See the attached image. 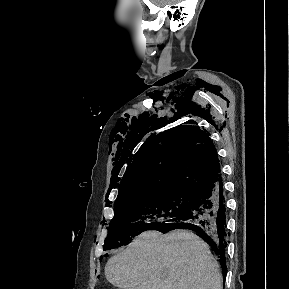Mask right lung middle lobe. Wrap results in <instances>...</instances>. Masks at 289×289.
Returning <instances> with one entry per match:
<instances>
[{"label":"right lung middle lobe","instance_id":"dd1d6c3e","mask_svg":"<svg viewBox=\"0 0 289 289\" xmlns=\"http://www.w3.org/2000/svg\"><path fill=\"white\" fill-rule=\"evenodd\" d=\"M194 198V192L175 190L134 196L116 203L103 249L117 248L143 231L156 230L185 214Z\"/></svg>","mask_w":289,"mask_h":289}]
</instances>
